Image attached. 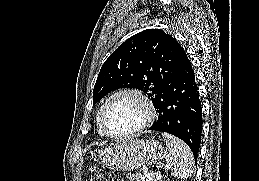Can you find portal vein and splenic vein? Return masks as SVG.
I'll return each mask as SVG.
<instances>
[{"label":"portal vein and splenic vein","mask_w":259,"mask_h":181,"mask_svg":"<svg viewBox=\"0 0 259 181\" xmlns=\"http://www.w3.org/2000/svg\"><path fill=\"white\" fill-rule=\"evenodd\" d=\"M143 173H144L145 176H147V177H149V178H152V177H153V174H150V173L148 172V169H147V168H143Z\"/></svg>","instance_id":"obj_1"}]
</instances>
